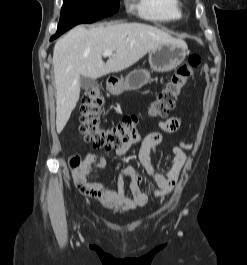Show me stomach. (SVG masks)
I'll use <instances>...</instances> for the list:
<instances>
[{"mask_svg":"<svg viewBox=\"0 0 247 265\" xmlns=\"http://www.w3.org/2000/svg\"><path fill=\"white\" fill-rule=\"evenodd\" d=\"M187 45L183 43H165L155 47L149 53V64L155 72H169L178 67L186 58ZM150 72L137 69L129 73L125 81L114 80L107 83L109 92L120 95L124 91L137 90L149 82Z\"/></svg>","mask_w":247,"mask_h":265,"instance_id":"1","label":"stomach"}]
</instances>
